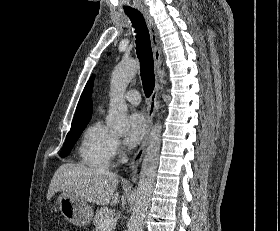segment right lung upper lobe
Listing matches in <instances>:
<instances>
[{"label": "right lung upper lobe", "instance_id": "1", "mask_svg": "<svg viewBox=\"0 0 280 231\" xmlns=\"http://www.w3.org/2000/svg\"><path fill=\"white\" fill-rule=\"evenodd\" d=\"M93 78H91L80 97L75 116L73 118L71 128L77 127L89 122L92 115V101L91 97V87H92Z\"/></svg>", "mask_w": 280, "mask_h": 231}]
</instances>
